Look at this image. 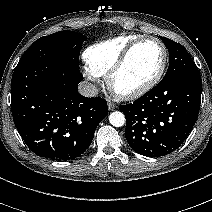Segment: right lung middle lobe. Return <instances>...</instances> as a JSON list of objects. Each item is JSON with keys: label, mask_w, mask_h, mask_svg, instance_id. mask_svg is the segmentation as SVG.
<instances>
[{"label": "right lung middle lobe", "mask_w": 212, "mask_h": 212, "mask_svg": "<svg viewBox=\"0 0 212 212\" xmlns=\"http://www.w3.org/2000/svg\"><path fill=\"white\" fill-rule=\"evenodd\" d=\"M85 40L83 34L68 30L41 37L26 50L14 70L42 61L63 62L79 68L80 49Z\"/></svg>", "instance_id": "1"}]
</instances>
